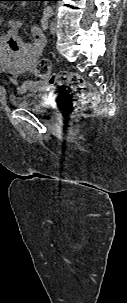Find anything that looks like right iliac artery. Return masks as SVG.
I'll list each match as a JSON object with an SVG mask.
<instances>
[{
    "label": "right iliac artery",
    "instance_id": "obj_1",
    "mask_svg": "<svg viewBox=\"0 0 127 303\" xmlns=\"http://www.w3.org/2000/svg\"><path fill=\"white\" fill-rule=\"evenodd\" d=\"M48 25H49V16H43L42 17V27H43V29L47 30Z\"/></svg>",
    "mask_w": 127,
    "mask_h": 303
}]
</instances>
